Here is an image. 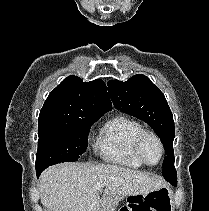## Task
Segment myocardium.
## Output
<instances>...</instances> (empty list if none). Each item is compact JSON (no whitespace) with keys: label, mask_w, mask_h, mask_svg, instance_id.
Returning <instances> with one entry per match:
<instances>
[{"label":"myocardium","mask_w":209,"mask_h":211,"mask_svg":"<svg viewBox=\"0 0 209 211\" xmlns=\"http://www.w3.org/2000/svg\"><path fill=\"white\" fill-rule=\"evenodd\" d=\"M146 138L154 139L157 142L158 146H159L160 157H159V160L156 163H149L145 159V157L143 156L142 143H143V141ZM133 148H134V152H135L136 156L138 157V159L142 162V164H144L146 166H156L162 161V159L164 157V145H163V142H162L161 138L156 133H154L153 131H150V130L142 129L137 134V136H136V138L134 140Z\"/></svg>","instance_id":"f54148a6"}]
</instances>
